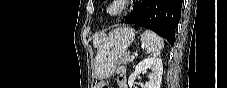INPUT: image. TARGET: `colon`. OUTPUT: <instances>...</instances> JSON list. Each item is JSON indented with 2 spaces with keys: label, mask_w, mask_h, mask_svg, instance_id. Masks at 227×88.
Here are the masks:
<instances>
[{
  "label": "colon",
  "mask_w": 227,
  "mask_h": 88,
  "mask_svg": "<svg viewBox=\"0 0 227 88\" xmlns=\"http://www.w3.org/2000/svg\"><path fill=\"white\" fill-rule=\"evenodd\" d=\"M97 88H108L106 84L98 85Z\"/></svg>",
  "instance_id": "obj_1"
}]
</instances>
